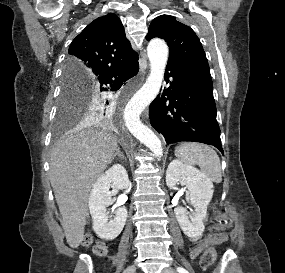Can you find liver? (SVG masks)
I'll list each match as a JSON object with an SVG mask.
<instances>
[{
	"mask_svg": "<svg viewBox=\"0 0 285 273\" xmlns=\"http://www.w3.org/2000/svg\"><path fill=\"white\" fill-rule=\"evenodd\" d=\"M86 119L57 141L50 153V182L62 216L67 243L77 248L84 238L88 197L118 149L117 138L103 130L83 128Z\"/></svg>",
	"mask_w": 285,
	"mask_h": 273,
	"instance_id": "6515ba94",
	"label": "liver"
}]
</instances>
